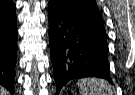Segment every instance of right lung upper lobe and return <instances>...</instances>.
<instances>
[{
  "mask_svg": "<svg viewBox=\"0 0 135 95\" xmlns=\"http://www.w3.org/2000/svg\"><path fill=\"white\" fill-rule=\"evenodd\" d=\"M15 14V5L12 0H0V17H9Z\"/></svg>",
  "mask_w": 135,
  "mask_h": 95,
  "instance_id": "obj_1",
  "label": "right lung upper lobe"
}]
</instances>
